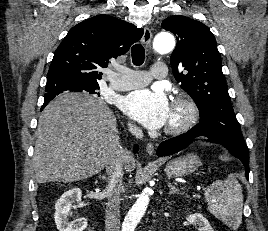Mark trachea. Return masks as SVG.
Listing matches in <instances>:
<instances>
[{
  "label": "trachea",
  "instance_id": "1",
  "mask_svg": "<svg viewBox=\"0 0 268 231\" xmlns=\"http://www.w3.org/2000/svg\"><path fill=\"white\" fill-rule=\"evenodd\" d=\"M145 59V50L144 47L137 43L132 46V62L136 66H140L143 64Z\"/></svg>",
  "mask_w": 268,
  "mask_h": 231
}]
</instances>
